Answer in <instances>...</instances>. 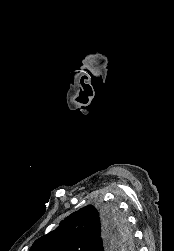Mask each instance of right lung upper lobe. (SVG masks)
<instances>
[{
  "label": "right lung upper lobe",
  "instance_id": "obj_1",
  "mask_svg": "<svg viewBox=\"0 0 174 251\" xmlns=\"http://www.w3.org/2000/svg\"><path fill=\"white\" fill-rule=\"evenodd\" d=\"M104 218L101 211L88 205L66 217L54 231L37 239L30 251H104L108 249L101 244ZM123 240L118 232L111 248L120 250Z\"/></svg>",
  "mask_w": 174,
  "mask_h": 251
}]
</instances>
